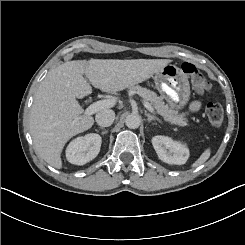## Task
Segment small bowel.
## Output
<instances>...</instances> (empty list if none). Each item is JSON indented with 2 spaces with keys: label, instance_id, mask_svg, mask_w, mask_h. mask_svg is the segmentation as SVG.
I'll return each instance as SVG.
<instances>
[{
  "label": "small bowel",
  "instance_id": "c3829d8e",
  "mask_svg": "<svg viewBox=\"0 0 245 245\" xmlns=\"http://www.w3.org/2000/svg\"><path fill=\"white\" fill-rule=\"evenodd\" d=\"M200 107H201V101L200 100H195L190 105V111L191 112H196V111H198L200 109Z\"/></svg>",
  "mask_w": 245,
  "mask_h": 245
}]
</instances>
